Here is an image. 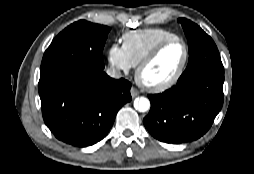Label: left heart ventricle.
<instances>
[{
    "label": "left heart ventricle",
    "instance_id": "left-heart-ventricle-1",
    "mask_svg": "<svg viewBox=\"0 0 254 174\" xmlns=\"http://www.w3.org/2000/svg\"><path fill=\"white\" fill-rule=\"evenodd\" d=\"M184 47L180 42L167 45L158 57L142 72V79L148 83H160L171 78L180 67Z\"/></svg>",
    "mask_w": 254,
    "mask_h": 174
}]
</instances>
